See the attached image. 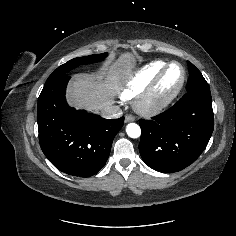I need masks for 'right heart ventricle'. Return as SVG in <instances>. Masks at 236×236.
<instances>
[{
	"instance_id": "obj_1",
	"label": "right heart ventricle",
	"mask_w": 236,
	"mask_h": 236,
	"mask_svg": "<svg viewBox=\"0 0 236 236\" xmlns=\"http://www.w3.org/2000/svg\"><path fill=\"white\" fill-rule=\"evenodd\" d=\"M166 64L164 61L157 60L141 67L124 83L120 90V97L123 100H130L143 92Z\"/></svg>"
}]
</instances>
